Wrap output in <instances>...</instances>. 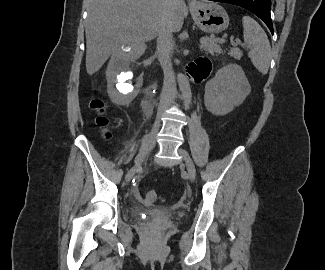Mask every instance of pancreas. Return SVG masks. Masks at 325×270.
Here are the masks:
<instances>
[{
    "label": "pancreas",
    "instance_id": "1",
    "mask_svg": "<svg viewBox=\"0 0 325 270\" xmlns=\"http://www.w3.org/2000/svg\"><path fill=\"white\" fill-rule=\"evenodd\" d=\"M206 39H209V38H206ZM207 43H208V45L205 47H202L203 49H205L212 55L214 53H217V54L222 53V49H221L220 45H218L215 40L209 39L207 41ZM229 55L234 57L237 60H240L242 57V51L239 48H231Z\"/></svg>",
    "mask_w": 325,
    "mask_h": 270
}]
</instances>
